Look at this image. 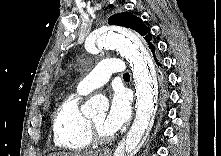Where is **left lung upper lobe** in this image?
Listing matches in <instances>:
<instances>
[{
  "label": "left lung upper lobe",
  "mask_w": 221,
  "mask_h": 156,
  "mask_svg": "<svg viewBox=\"0 0 221 156\" xmlns=\"http://www.w3.org/2000/svg\"><path fill=\"white\" fill-rule=\"evenodd\" d=\"M108 23L111 25L127 27L138 32L148 43V46L153 53L154 59L157 60L155 55L156 48L152 41V34L141 18L133 15L131 12H122L111 16L108 19Z\"/></svg>",
  "instance_id": "left-lung-upper-lobe-1"
}]
</instances>
